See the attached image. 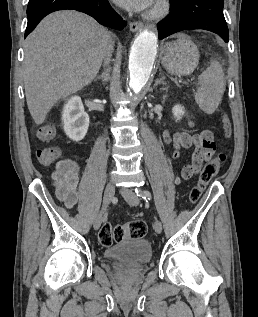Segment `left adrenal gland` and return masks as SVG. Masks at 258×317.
<instances>
[{
  "instance_id": "left-adrenal-gland-1",
  "label": "left adrenal gland",
  "mask_w": 258,
  "mask_h": 317,
  "mask_svg": "<svg viewBox=\"0 0 258 317\" xmlns=\"http://www.w3.org/2000/svg\"><path fill=\"white\" fill-rule=\"evenodd\" d=\"M164 78L165 76H162V78H157V80L154 82V88H156L157 84H166Z\"/></svg>"
}]
</instances>
